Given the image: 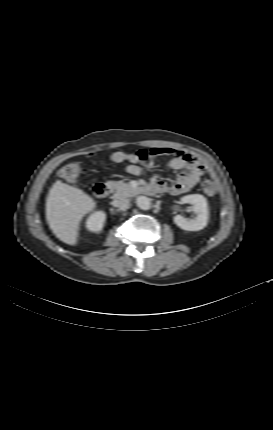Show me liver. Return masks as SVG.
<instances>
[{
	"label": "liver",
	"instance_id": "liver-1",
	"mask_svg": "<svg viewBox=\"0 0 273 430\" xmlns=\"http://www.w3.org/2000/svg\"><path fill=\"white\" fill-rule=\"evenodd\" d=\"M95 208L96 202L90 195L58 180L46 199V218L57 238L76 245L82 219Z\"/></svg>",
	"mask_w": 273,
	"mask_h": 430
}]
</instances>
